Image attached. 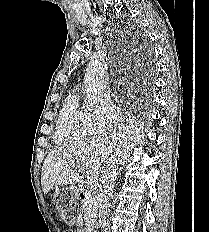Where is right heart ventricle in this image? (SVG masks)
<instances>
[{
    "label": "right heart ventricle",
    "instance_id": "right-heart-ventricle-1",
    "mask_svg": "<svg viewBox=\"0 0 209 232\" xmlns=\"http://www.w3.org/2000/svg\"><path fill=\"white\" fill-rule=\"evenodd\" d=\"M95 133L91 114L80 107L77 93H71L58 117L56 143L62 146L76 144L90 139Z\"/></svg>",
    "mask_w": 209,
    "mask_h": 232
}]
</instances>
